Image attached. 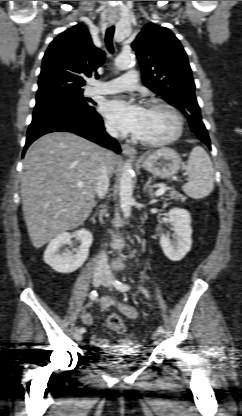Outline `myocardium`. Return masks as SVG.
<instances>
[{"instance_id":"obj_1","label":"myocardium","mask_w":242,"mask_h":416,"mask_svg":"<svg viewBox=\"0 0 242 416\" xmlns=\"http://www.w3.org/2000/svg\"><path fill=\"white\" fill-rule=\"evenodd\" d=\"M147 108L166 109L168 112L171 113V115L173 116L175 120V128H174L173 133L164 139L157 140V141H148V140L141 139L137 136H134V140L136 142L147 147H161V146L174 142L181 136L182 131H183V117L175 106L162 100H152L148 103Z\"/></svg>"}]
</instances>
